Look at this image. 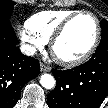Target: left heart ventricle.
<instances>
[{"label": "left heart ventricle", "mask_w": 108, "mask_h": 108, "mask_svg": "<svg viewBox=\"0 0 108 108\" xmlns=\"http://www.w3.org/2000/svg\"><path fill=\"white\" fill-rule=\"evenodd\" d=\"M96 34L94 20L87 15L77 18L66 30L56 45V53L73 59L82 55L91 46Z\"/></svg>", "instance_id": "1"}]
</instances>
